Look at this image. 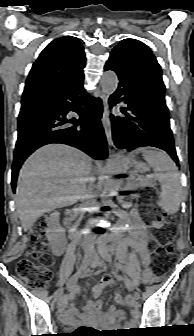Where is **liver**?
Instances as JSON below:
<instances>
[{"label": "liver", "mask_w": 194, "mask_h": 336, "mask_svg": "<svg viewBox=\"0 0 194 336\" xmlns=\"http://www.w3.org/2000/svg\"><path fill=\"white\" fill-rule=\"evenodd\" d=\"M92 160L64 144L46 145L23 164L15 203L24 231L51 210L74 204L86 193Z\"/></svg>", "instance_id": "6515ba94"}]
</instances>
